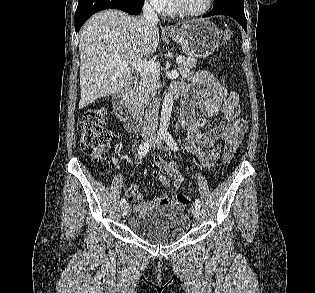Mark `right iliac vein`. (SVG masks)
<instances>
[{"instance_id":"63e3f726","label":"right iliac vein","mask_w":315,"mask_h":293,"mask_svg":"<svg viewBox=\"0 0 315 293\" xmlns=\"http://www.w3.org/2000/svg\"><path fill=\"white\" fill-rule=\"evenodd\" d=\"M145 141H148L149 140V136H146L144 138ZM129 211H130V205L128 203L124 204L122 207H121V213H122V216L123 217H127L128 214H129Z\"/></svg>"}]
</instances>
